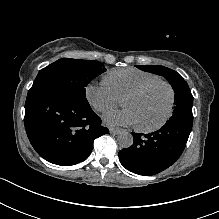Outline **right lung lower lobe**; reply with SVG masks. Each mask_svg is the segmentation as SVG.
Masks as SVG:
<instances>
[{
	"instance_id": "1",
	"label": "right lung lower lobe",
	"mask_w": 219,
	"mask_h": 219,
	"mask_svg": "<svg viewBox=\"0 0 219 219\" xmlns=\"http://www.w3.org/2000/svg\"><path fill=\"white\" fill-rule=\"evenodd\" d=\"M24 120L36 152L60 166L84 161L93 149L94 140L109 133L89 103L51 88L29 90Z\"/></svg>"
}]
</instances>
